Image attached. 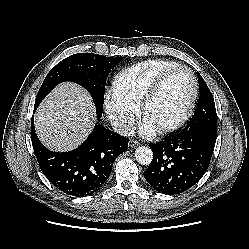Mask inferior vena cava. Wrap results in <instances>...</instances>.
Here are the masks:
<instances>
[{
    "label": "inferior vena cava",
    "mask_w": 249,
    "mask_h": 249,
    "mask_svg": "<svg viewBox=\"0 0 249 249\" xmlns=\"http://www.w3.org/2000/svg\"><path fill=\"white\" fill-rule=\"evenodd\" d=\"M112 129L124 136H130L134 134L135 128L133 125L123 122V121H112L111 122Z\"/></svg>",
    "instance_id": "inferior-vena-cava-1"
}]
</instances>
